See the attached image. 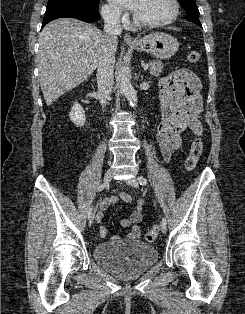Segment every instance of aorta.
<instances>
[{
	"label": "aorta",
	"instance_id": "aorta-1",
	"mask_svg": "<svg viewBox=\"0 0 245 314\" xmlns=\"http://www.w3.org/2000/svg\"><path fill=\"white\" fill-rule=\"evenodd\" d=\"M118 78L120 82V89L124 93L127 101L132 107L137 106V94L127 74V68L121 66L118 71Z\"/></svg>",
	"mask_w": 245,
	"mask_h": 314
}]
</instances>
